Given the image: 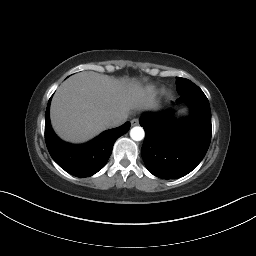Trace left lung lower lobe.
<instances>
[{
	"instance_id": "0a47b994",
	"label": "left lung lower lobe",
	"mask_w": 256,
	"mask_h": 256,
	"mask_svg": "<svg viewBox=\"0 0 256 256\" xmlns=\"http://www.w3.org/2000/svg\"><path fill=\"white\" fill-rule=\"evenodd\" d=\"M191 109L178 121L168 113H145L139 119L145 130L141 155L147 169L163 179H177L191 172L204 158L211 141V111L199 87L181 94Z\"/></svg>"
}]
</instances>
